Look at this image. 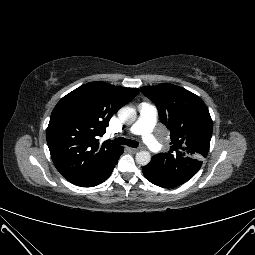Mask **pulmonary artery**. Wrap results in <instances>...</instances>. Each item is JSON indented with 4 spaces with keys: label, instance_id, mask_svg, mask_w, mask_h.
I'll return each mask as SVG.
<instances>
[{
    "label": "pulmonary artery",
    "instance_id": "obj_1",
    "mask_svg": "<svg viewBox=\"0 0 255 255\" xmlns=\"http://www.w3.org/2000/svg\"><path fill=\"white\" fill-rule=\"evenodd\" d=\"M157 118V108L148 102H143L140 104L136 123L129 129L130 133L141 135L144 143L153 152H158L161 149V144L152 134Z\"/></svg>",
    "mask_w": 255,
    "mask_h": 255
}]
</instances>
